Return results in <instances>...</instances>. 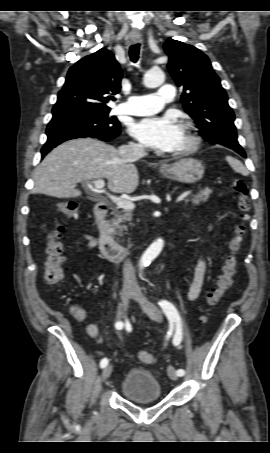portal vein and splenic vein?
Instances as JSON below:
<instances>
[{"mask_svg":"<svg viewBox=\"0 0 270 453\" xmlns=\"http://www.w3.org/2000/svg\"><path fill=\"white\" fill-rule=\"evenodd\" d=\"M105 186V182L104 180L102 179H98L95 181L94 183V187L96 190L98 191H103V188ZM191 191H186L184 193H182L176 200V202H181L183 201L186 197H188L190 195ZM106 195L110 198V200L116 204V206L118 208H122L124 210H133L135 208V205L133 202L129 201V200H125V199H122V198H119L117 196H114V195H111L109 193H106Z\"/></svg>","mask_w":270,"mask_h":453,"instance_id":"portal-vein-and-splenic-vein-1","label":"portal vein and splenic vein"}]
</instances>
